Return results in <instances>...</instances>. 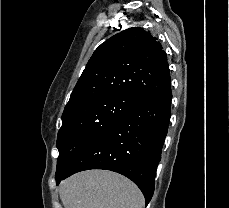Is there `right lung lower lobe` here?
I'll list each match as a JSON object with an SVG mask.
<instances>
[{"label": "right lung lower lobe", "instance_id": "obj_1", "mask_svg": "<svg viewBox=\"0 0 229 208\" xmlns=\"http://www.w3.org/2000/svg\"><path fill=\"white\" fill-rule=\"evenodd\" d=\"M171 84L141 101L114 125L93 139L75 158L57 185L88 169H107L131 179L146 205L154 192L155 174L171 116Z\"/></svg>", "mask_w": 229, "mask_h": 208}]
</instances>
